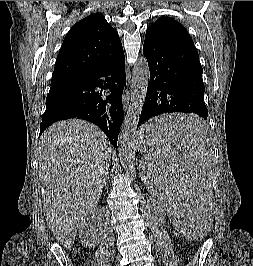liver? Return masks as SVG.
Listing matches in <instances>:
<instances>
[{"mask_svg":"<svg viewBox=\"0 0 253 266\" xmlns=\"http://www.w3.org/2000/svg\"><path fill=\"white\" fill-rule=\"evenodd\" d=\"M38 152L45 218L53 236L70 248L101 197L111 146L94 124L70 119L44 131Z\"/></svg>","mask_w":253,"mask_h":266,"instance_id":"6515ba94","label":"liver"}]
</instances>
